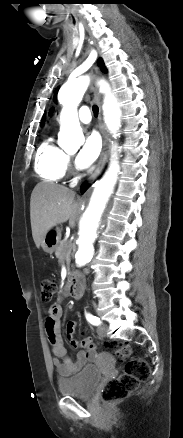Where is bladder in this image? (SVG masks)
I'll use <instances>...</instances> for the list:
<instances>
[{
    "mask_svg": "<svg viewBox=\"0 0 183 438\" xmlns=\"http://www.w3.org/2000/svg\"><path fill=\"white\" fill-rule=\"evenodd\" d=\"M101 378L96 367H85L74 376L59 379L58 390L62 395L89 398L94 394Z\"/></svg>",
    "mask_w": 183,
    "mask_h": 438,
    "instance_id": "1",
    "label": "bladder"
}]
</instances>
